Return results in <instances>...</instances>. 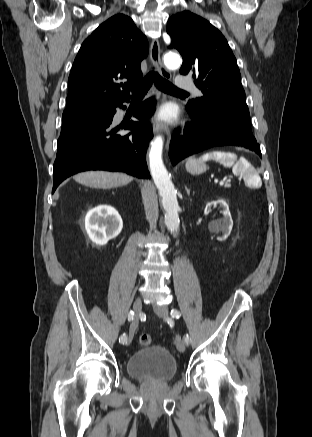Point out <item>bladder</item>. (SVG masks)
I'll list each match as a JSON object with an SVG mask.
<instances>
[{
  "instance_id": "bladder-1",
  "label": "bladder",
  "mask_w": 312,
  "mask_h": 437,
  "mask_svg": "<svg viewBox=\"0 0 312 437\" xmlns=\"http://www.w3.org/2000/svg\"><path fill=\"white\" fill-rule=\"evenodd\" d=\"M127 374L140 381L164 383L177 373L172 354L161 345H151L135 351L126 362Z\"/></svg>"
}]
</instances>
